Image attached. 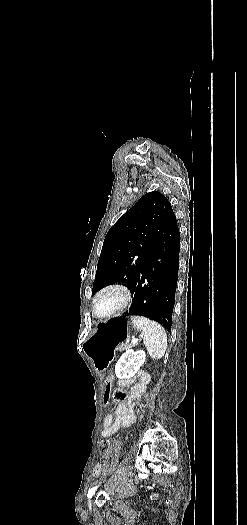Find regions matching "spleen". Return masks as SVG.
I'll use <instances>...</instances> for the list:
<instances>
[{
    "instance_id": "3e777b00",
    "label": "spleen",
    "mask_w": 247,
    "mask_h": 525,
    "mask_svg": "<svg viewBox=\"0 0 247 525\" xmlns=\"http://www.w3.org/2000/svg\"><path fill=\"white\" fill-rule=\"evenodd\" d=\"M131 319L135 329L141 331L149 357L162 359L167 349V337L163 327L146 317H131Z\"/></svg>"
}]
</instances>
